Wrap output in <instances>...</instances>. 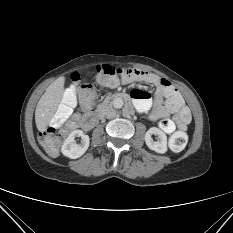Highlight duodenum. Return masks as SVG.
Listing matches in <instances>:
<instances>
[{"label": "duodenum", "instance_id": "duodenum-1", "mask_svg": "<svg viewBox=\"0 0 233 233\" xmlns=\"http://www.w3.org/2000/svg\"><path fill=\"white\" fill-rule=\"evenodd\" d=\"M112 99L124 100L127 103L128 111H132L130 97L127 94L116 93L112 96ZM101 117H102V110H98L94 113L85 115L80 120V126L84 130H90L99 122Z\"/></svg>", "mask_w": 233, "mask_h": 233}]
</instances>
